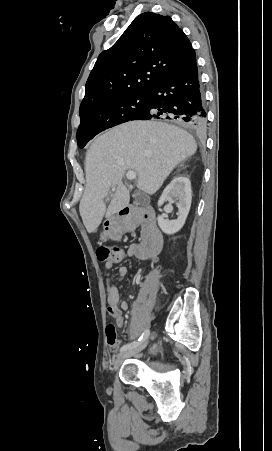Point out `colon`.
<instances>
[{"instance_id": "colon-1", "label": "colon", "mask_w": 272, "mask_h": 451, "mask_svg": "<svg viewBox=\"0 0 272 451\" xmlns=\"http://www.w3.org/2000/svg\"><path fill=\"white\" fill-rule=\"evenodd\" d=\"M97 254L96 261L97 262H106L108 258H112L113 256H121L122 250L121 247H105V246H97ZM105 334L107 344L110 347L116 346L117 341V327L113 322H109L105 327Z\"/></svg>"}]
</instances>
